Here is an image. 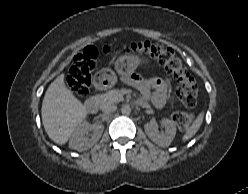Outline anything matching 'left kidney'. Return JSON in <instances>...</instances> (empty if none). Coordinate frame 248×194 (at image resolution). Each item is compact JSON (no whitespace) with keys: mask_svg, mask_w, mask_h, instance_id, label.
<instances>
[{"mask_svg":"<svg viewBox=\"0 0 248 194\" xmlns=\"http://www.w3.org/2000/svg\"><path fill=\"white\" fill-rule=\"evenodd\" d=\"M162 126L165 127V133L160 134L158 127L149 125L145 128L147 136L156 144L161 147H167L171 144L176 134L175 123L167 118L161 120Z\"/></svg>","mask_w":248,"mask_h":194,"instance_id":"5707ae66","label":"left kidney"}]
</instances>
